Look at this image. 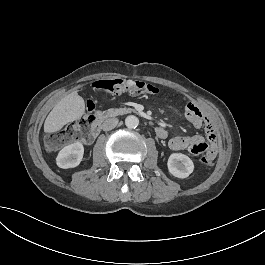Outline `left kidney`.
I'll return each mask as SVG.
<instances>
[{"instance_id":"left-kidney-1","label":"left kidney","mask_w":265,"mask_h":265,"mask_svg":"<svg viewBox=\"0 0 265 265\" xmlns=\"http://www.w3.org/2000/svg\"><path fill=\"white\" fill-rule=\"evenodd\" d=\"M167 165L169 172L177 178H187L194 170L192 160L182 153L171 154Z\"/></svg>"}]
</instances>
